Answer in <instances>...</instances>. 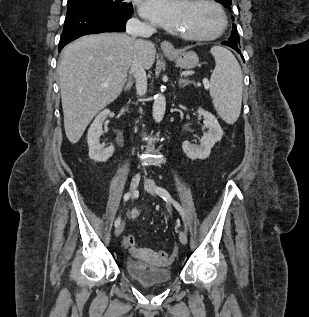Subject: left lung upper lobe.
Returning <instances> with one entry per match:
<instances>
[{
    "instance_id": "obj_1",
    "label": "left lung upper lobe",
    "mask_w": 309,
    "mask_h": 317,
    "mask_svg": "<svg viewBox=\"0 0 309 317\" xmlns=\"http://www.w3.org/2000/svg\"><path fill=\"white\" fill-rule=\"evenodd\" d=\"M216 1L222 3L226 8L231 10L232 0H216ZM229 41L237 45L240 44L239 34L237 32L235 25H233V31H232L231 37L229 38Z\"/></svg>"
}]
</instances>
